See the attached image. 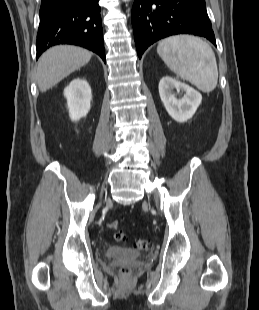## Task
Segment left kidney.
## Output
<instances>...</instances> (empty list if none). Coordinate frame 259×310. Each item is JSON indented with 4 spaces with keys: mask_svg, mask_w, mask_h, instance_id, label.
Returning a JSON list of instances; mask_svg holds the SVG:
<instances>
[{
    "mask_svg": "<svg viewBox=\"0 0 259 310\" xmlns=\"http://www.w3.org/2000/svg\"><path fill=\"white\" fill-rule=\"evenodd\" d=\"M174 89L184 92L183 97L178 99ZM159 95L168 114L180 123L192 118L202 101V95L197 90L169 76L160 80Z\"/></svg>",
    "mask_w": 259,
    "mask_h": 310,
    "instance_id": "1",
    "label": "left kidney"
}]
</instances>
